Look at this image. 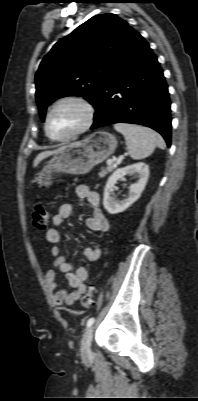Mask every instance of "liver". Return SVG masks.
<instances>
[{"instance_id": "1", "label": "liver", "mask_w": 198, "mask_h": 401, "mask_svg": "<svg viewBox=\"0 0 198 401\" xmlns=\"http://www.w3.org/2000/svg\"><path fill=\"white\" fill-rule=\"evenodd\" d=\"M62 149V147L55 149V150H50V151H43L41 153H39L36 158L33 161V167H37L38 164L46 159L47 157L51 156V155H55L56 153H58L60 150Z\"/></svg>"}]
</instances>
